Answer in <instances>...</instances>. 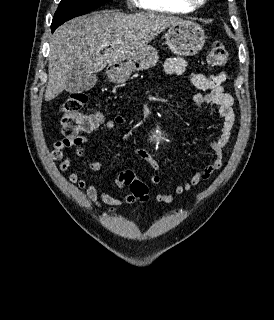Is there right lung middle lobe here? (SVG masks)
<instances>
[{
    "mask_svg": "<svg viewBox=\"0 0 274 320\" xmlns=\"http://www.w3.org/2000/svg\"><path fill=\"white\" fill-rule=\"evenodd\" d=\"M111 1L113 0H61L51 27H58L67 20L84 15Z\"/></svg>",
    "mask_w": 274,
    "mask_h": 320,
    "instance_id": "obj_1",
    "label": "right lung middle lobe"
}]
</instances>
